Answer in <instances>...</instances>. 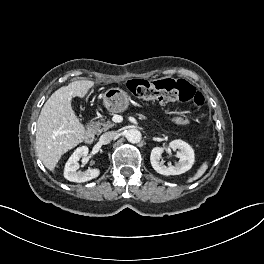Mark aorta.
<instances>
[{
	"mask_svg": "<svg viewBox=\"0 0 264 264\" xmlns=\"http://www.w3.org/2000/svg\"><path fill=\"white\" fill-rule=\"evenodd\" d=\"M126 138L130 143H139L142 138V134L137 129H129L126 133Z\"/></svg>",
	"mask_w": 264,
	"mask_h": 264,
	"instance_id": "aorta-1",
	"label": "aorta"
}]
</instances>
